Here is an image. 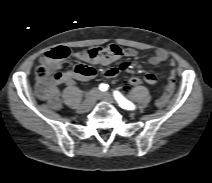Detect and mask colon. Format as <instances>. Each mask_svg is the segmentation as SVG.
Masks as SVG:
<instances>
[{
	"label": "colon",
	"mask_w": 212,
	"mask_h": 183,
	"mask_svg": "<svg viewBox=\"0 0 212 183\" xmlns=\"http://www.w3.org/2000/svg\"><path fill=\"white\" fill-rule=\"evenodd\" d=\"M47 57L55 62H60L69 56V50L66 47L59 46L49 50L46 53ZM84 65H76L74 71L77 73L84 72ZM36 79L40 84H49L51 82H56L62 79L63 72L58 68H49L46 65H39L35 71ZM143 81L138 77H131L125 82V88L130 89L132 87L140 86Z\"/></svg>",
	"instance_id": "5ec220e1"
}]
</instances>
